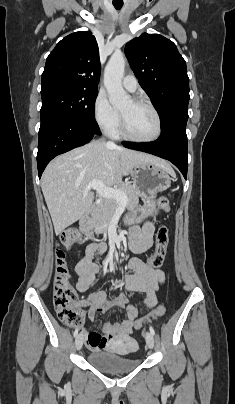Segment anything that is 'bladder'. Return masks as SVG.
Here are the masks:
<instances>
[{
    "label": "bladder",
    "instance_id": "1",
    "mask_svg": "<svg viewBox=\"0 0 235 404\" xmlns=\"http://www.w3.org/2000/svg\"><path fill=\"white\" fill-rule=\"evenodd\" d=\"M111 349H97L87 355V361L96 369L109 373H122L134 370L139 364V358L127 357L121 355L120 352L131 353L135 346L128 348L115 346Z\"/></svg>",
    "mask_w": 235,
    "mask_h": 404
}]
</instances>
